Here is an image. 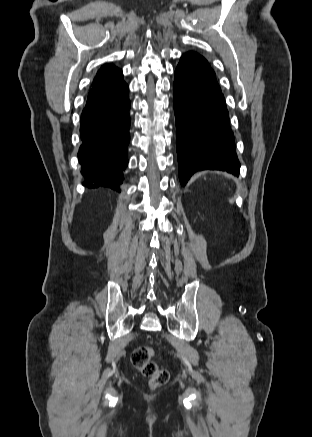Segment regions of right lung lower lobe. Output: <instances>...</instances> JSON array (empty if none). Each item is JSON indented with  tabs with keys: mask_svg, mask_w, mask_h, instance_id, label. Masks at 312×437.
<instances>
[{
	"mask_svg": "<svg viewBox=\"0 0 312 437\" xmlns=\"http://www.w3.org/2000/svg\"><path fill=\"white\" fill-rule=\"evenodd\" d=\"M122 74L109 84L91 91L81 116L82 145L78 158L84 186L118 189L122 183L130 140V101Z\"/></svg>",
	"mask_w": 312,
	"mask_h": 437,
	"instance_id": "obj_1",
	"label": "right lung lower lobe"
}]
</instances>
